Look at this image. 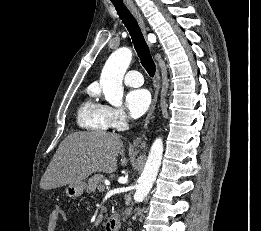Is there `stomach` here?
Returning <instances> with one entry per match:
<instances>
[{
	"label": "stomach",
	"mask_w": 261,
	"mask_h": 231,
	"mask_svg": "<svg viewBox=\"0 0 261 231\" xmlns=\"http://www.w3.org/2000/svg\"><path fill=\"white\" fill-rule=\"evenodd\" d=\"M85 187L86 184L83 181L76 184H69L65 189L66 196L70 198L79 197L83 194Z\"/></svg>",
	"instance_id": "0dacf381"
}]
</instances>
